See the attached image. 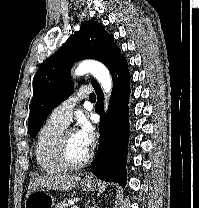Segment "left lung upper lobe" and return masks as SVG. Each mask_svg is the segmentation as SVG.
I'll return each instance as SVG.
<instances>
[{
  "instance_id": "left-lung-upper-lobe-1",
  "label": "left lung upper lobe",
  "mask_w": 199,
  "mask_h": 208,
  "mask_svg": "<svg viewBox=\"0 0 199 208\" xmlns=\"http://www.w3.org/2000/svg\"><path fill=\"white\" fill-rule=\"evenodd\" d=\"M92 58L101 61L109 71L124 57L113 37L98 22L82 23L64 45L38 69L33 79V97L28 132L35 137L49 113L73 92L70 71L74 61ZM84 83V81H80ZM93 87L97 86L92 79Z\"/></svg>"
}]
</instances>
